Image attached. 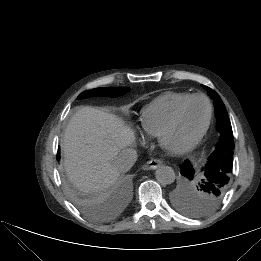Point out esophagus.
<instances>
[{"label": "esophagus", "mask_w": 261, "mask_h": 261, "mask_svg": "<svg viewBox=\"0 0 261 261\" xmlns=\"http://www.w3.org/2000/svg\"><path fill=\"white\" fill-rule=\"evenodd\" d=\"M161 165H162L161 160L151 159L143 166V168L145 170H154V169H157L158 167H160Z\"/></svg>", "instance_id": "esophagus-1"}]
</instances>
